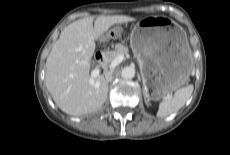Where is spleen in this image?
I'll use <instances>...</instances> for the list:
<instances>
[{
	"mask_svg": "<svg viewBox=\"0 0 230 155\" xmlns=\"http://www.w3.org/2000/svg\"><path fill=\"white\" fill-rule=\"evenodd\" d=\"M193 92V86L188 85L177 90L174 96H168L159 103V109L157 112L158 117H167L172 113L177 112L181 109L188 99L191 97Z\"/></svg>",
	"mask_w": 230,
	"mask_h": 155,
	"instance_id": "1",
	"label": "spleen"
}]
</instances>
